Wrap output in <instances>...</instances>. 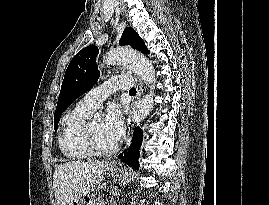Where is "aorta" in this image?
<instances>
[{"instance_id": "1", "label": "aorta", "mask_w": 269, "mask_h": 205, "mask_svg": "<svg viewBox=\"0 0 269 205\" xmlns=\"http://www.w3.org/2000/svg\"><path fill=\"white\" fill-rule=\"evenodd\" d=\"M106 64H122L131 69L145 83L150 85V92L141 98L134 106L131 119L139 123L146 118L153 108L154 89L156 84V75L152 63L143 54L131 50L118 48L110 50L104 56Z\"/></svg>"}]
</instances>
